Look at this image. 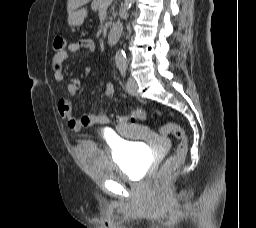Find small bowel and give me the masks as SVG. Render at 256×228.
Returning a JSON list of instances; mask_svg holds the SVG:
<instances>
[{"instance_id": "1", "label": "small bowel", "mask_w": 256, "mask_h": 228, "mask_svg": "<svg viewBox=\"0 0 256 228\" xmlns=\"http://www.w3.org/2000/svg\"><path fill=\"white\" fill-rule=\"evenodd\" d=\"M95 44L91 39H80L70 43L67 48L61 52L54 53L52 56L53 80L57 83L64 80V73L62 67L70 54L78 52H93ZM81 82L79 78H71L67 84V90L70 94H75L79 91ZM114 92L113 83L109 82L105 85L103 92L100 95L101 100L108 99ZM58 112L62 119L65 120L67 126L72 131H79L83 128H89L98 125H106L109 123V118L103 113L102 108L99 107L93 112L84 113L80 116L72 115V103L67 98H61L58 101Z\"/></svg>"}]
</instances>
